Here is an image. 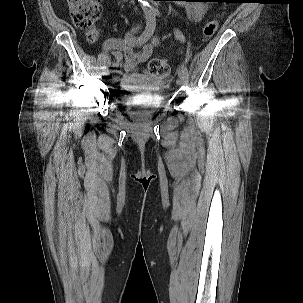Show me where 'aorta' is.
Masks as SVG:
<instances>
[{
    "label": "aorta",
    "mask_w": 303,
    "mask_h": 303,
    "mask_svg": "<svg viewBox=\"0 0 303 303\" xmlns=\"http://www.w3.org/2000/svg\"><path fill=\"white\" fill-rule=\"evenodd\" d=\"M141 2V4H143V6L148 7L150 4L148 2V0H139Z\"/></svg>",
    "instance_id": "aorta-1"
}]
</instances>
